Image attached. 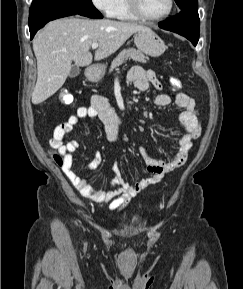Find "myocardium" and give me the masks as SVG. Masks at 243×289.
<instances>
[{
    "label": "myocardium",
    "mask_w": 243,
    "mask_h": 289,
    "mask_svg": "<svg viewBox=\"0 0 243 289\" xmlns=\"http://www.w3.org/2000/svg\"><path fill=\"white\" fill-rule=\"evenodd\" d=\"M128 3L132 13L139 19L145 21H158L167 18L172 13L175 6V0H169V7L165 13L159 16H148L144 13L141 7V0H128Z\"/></svg>",
    "instance_id": "1"
}]
</instances>
